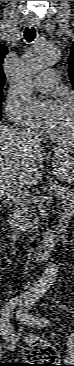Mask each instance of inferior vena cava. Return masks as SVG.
<instances>
[{
	"mask_svg": "<svg viewBox=\"0 0 74 366\" xmlns=\"http://www.w3.org/2000/svg\"><path fill=\"white\" fill-rule=\"evenodd\" d=\"M21 138L24 141L23 143L28 144L34 148L39 147L38 136L34 132H31L30 130H23V131H21ZM18 222H19L20 227L26 226V222L24 219L20 218V219H18ZM29 256H30V254L28 255V257ZM25 269H27V268H25Z\"/></svg>",
	"mask_w": 74,
	"mask_h": 366,
	"instance_id": "602c4592",
	"label": "inferior vena cava"
}]
</instances>
